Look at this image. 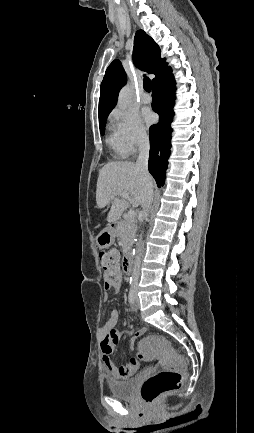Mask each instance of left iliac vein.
<instances>
[{"label":"left iliac vein","instance_id":"obj_1","mask_svg":"<svg viewBox=\"0 0 254 433\" xmlns=\"http://www.w3.org/2000/svg\"><path fill=\"white\" fill-rule=\"evenodd\" d=\"M135 301H136L135 308H137L138 304H139V299L137 297V291H135Z\"/></svg>","mask_w":254,"mask_h":433}]
</instances>
